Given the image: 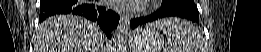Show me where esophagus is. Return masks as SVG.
I'll use <instances>...</instances> for the list:
<instances>
[{"label": "esophagus", "instance_id": "34e87169", "mask_svg": "<svg viewBox=\"0 0 261 52\" xmlns=\"http://www.w3.org/2000/svg\"><path fill=\"white\" fill-rule=\"evenodd\" d=\"M129 16L122 14L120 15V21H119V29L122 32H127L128 28H129Z\"/></svg>", "mask_w": 261, "mask_h": 52}]
</instances>
